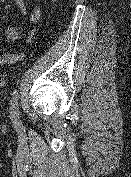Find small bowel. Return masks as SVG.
Returning a JSON list of instances; mask_svg holds the SVG:
<instances>
[{"instance_id": "obj_1", "label": "small bowel", "mask_w": 131, "mask_h": 177, "mask_svg": "<svg viewBox=\"0 0 131 177\" xmlns=\"http://www.w3.org/2000/svg\"><path fill=\"white\" fill-rule=\"evenodd\" d=\"M16 6L21 10L25 16L28 24L30 25V31L27 35V41H30L35 35L34 25L37 23L41 16V10L39 7L34 6L31 11L28 10L25 0H14ZM7 0H0V3L6 5ZM9 41L14 43L20 42V34L15 27H8L1 32ZM22 58V53L19 51H9L0 54V66L5 63H11Z\"/></svg>"}]
</instances>
